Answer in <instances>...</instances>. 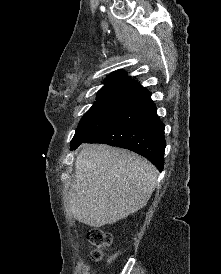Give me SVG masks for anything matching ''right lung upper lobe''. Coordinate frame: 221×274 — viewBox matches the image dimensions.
<instances>
[{"label":"right lung upper lobe","mask_w":221,"mask_h":274,"mask_svg":"<svg viewBox=\"0 0 221 274\" xmlns=\"http://www.w3.org/2000/svg\"><path fill=\"white\" fill-rule=\"evenodd\" d=\"M105 85L100 89L97 99H123L135 101L148 90L131 80L125 72H114L104 81Z\"/></svg>","instance_id":"right-lung-upper-lobe-1"}]
</instances>
